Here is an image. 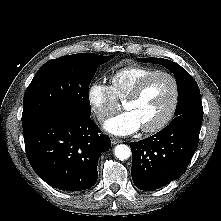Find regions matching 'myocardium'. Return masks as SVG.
I'll return each instance as SVG.
<instances>
[{"label": "myocardium", "mask_w": 221, "mask_h": 221, "mask_svg": "<svg viewBox=\"0 0 221 221\" xmlns=\"http://www.w3.org/2000/svg\"><path fill=\"white\" fill-rule=\"evenodd\" d=\"M158 76L166 77L171 81L172 87H173V98H172V102H171V105H170L167 113L160 121H158L157 123H155L151 126L141 127V130L145 133H154V132H157V131L163 129L164 127H166L169 124V122L174 117L177 107H178V104H179V99H180V87H179L178 80L176 79V77L174 75H172L171 73L166 72V71L152 72V73L148 74L147 76L143 77L124 99V103L138 99L141 96V94L143 93L147 84L153 78L158 77Z\"/></svg>", "instance_id": "1"}]
</instances>
